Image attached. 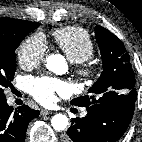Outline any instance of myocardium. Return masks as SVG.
<instances>
[{
    "mask_svg": "<svg viewBox=\"0 0 142 142\" xmlns=\"http://www.w3.org/2000/svg\"><path fill=\"white\" fill-rule=\"evenodd\" d=\"M75 71L80 79L92 80L98 72V67L95 63H91L86 60L84 62L77 63Z\"/></svg>",
    "mask_w": 142,
    "mask_h": 142,
    "instance_id": "myocardium-1",
    "label": "myocardium"
}]
</instances>
